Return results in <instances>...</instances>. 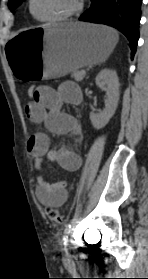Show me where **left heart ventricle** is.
Segmentation results:
<instances>
[{
    "label": "left heart ventricle",
    "instance_id": "left-heart-ventricle-1",
    "mask_svg": "<svg viewBox=\"0 0 148 279\" xmlns=\"http://www.w3.org/2000/svg\"><path fill=\"white\" fill-rule=\"evenodd\" d=\"M75 0H34L33 10L39 17H53L66 13L73 8Z\"/></svg>",
    "mask_w": 148,
    "mask_h": 279
}]
</instances>
